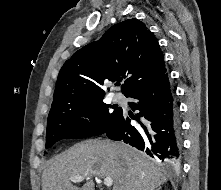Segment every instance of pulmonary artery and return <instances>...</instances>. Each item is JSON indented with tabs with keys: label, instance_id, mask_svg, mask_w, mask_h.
Segmentation results:
<instances>
[{
	"label": "pulmonary artery",
	"instance_id": "pulmonary-artery-1",
	"mask_svg": "<svg viewBox=\"0 0 221 190\" xmlns=\"http://www.w3.org/2000/svg\"><path fill=\"white\" fill-rule=\"evenodd\" d=\"M114 99L117 101V102H123L124 101V95L120 92H117L115 93L114 95Z\"/></svg>",
	"mask_w": 221,
	"mask_h": 190
}]
</instances>
